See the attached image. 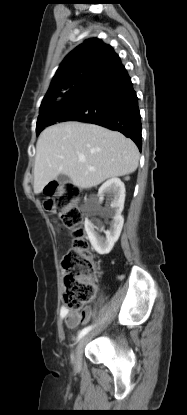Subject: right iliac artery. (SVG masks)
<instances>
[{
    "instance_id": "1",
    "label": "right iliac artery",
    "mask_w": 187,
    "mask_h": 415,
    "mask_svg": "<svg viewBox=\"0 0 187 415\" xmlns=\"http://www.w3.org/2000/svg\"><path fill=\"white\" fill-rule=\"evenodd\" d=\"M92 328L93 326H87L84 329H82L80 333L78 334V340L81 339L83 336H85Z\"/></svg>"
}]
</instances>
